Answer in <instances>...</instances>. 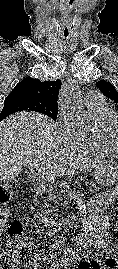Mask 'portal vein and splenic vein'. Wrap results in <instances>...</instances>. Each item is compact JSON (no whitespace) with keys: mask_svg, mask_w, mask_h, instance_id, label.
<instances>
[{"mask_svg":"<svg viewBox=\"0 0 118 269\" xmlns=\"http://www.w3.org/2000/svg\"><path fill=\"white\" fill-rule=\"evenodd\" d=\"M38 172H39V173H42L43 171H42L41 169H38Z\"/></svg>","mask_w":118,"mask_h":269,"instance_id":"obj_1","label":"portal vein and splenic vein"}]
</instances>
